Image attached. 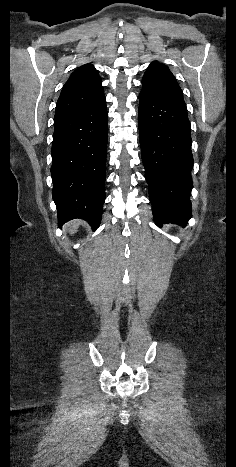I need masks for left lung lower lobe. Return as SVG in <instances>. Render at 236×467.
Wrapping results in <instances>:
<instances>
[{"label":"left lung lower lobe","mask_w":236,"mask_h":467,"mask_svg":"<svg viewBox=\"0 0 236 467\" xmlns=\"http://www.w3.org/2000/svg\"><path fill=\"white\" fill-rule=\"evenodd\" d=\"M139 133L154 221L184 225L192 217L191 128L181 98L141 90Z\"/></svg>","instance_id":"1"}]
</instances>
